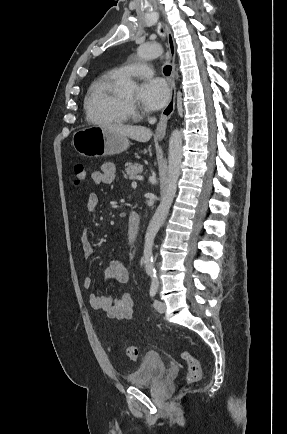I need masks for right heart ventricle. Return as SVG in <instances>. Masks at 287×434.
Returning a JSON list of instances; mask_svg holds the SVG:
<instances>
[{
    "instance_id": "right-heart-ventricle-1",
    "label": "right heart ventricle",
    "mask_w": 287,
    "mask_h": 434,
    "mask_svg": "<svg viewBox=\"0 0 287 434\" xmlns=\"http://www.w3.org/2000/svg\"><path fill=\"white\" fill-rule=\"evenodd\" d=\"M123 78L117 69H113L91 83L84 101L88 121L97 124H122L129 121V106L117 91Z\"/></svg>"
}]
</instances>
